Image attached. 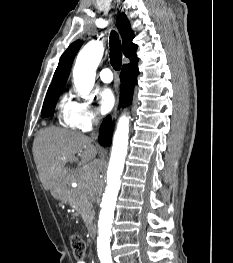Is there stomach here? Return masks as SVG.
Segmentation results:
<instances>
[{"label":"stomach","mask_w":233,"mask_h":263,"mask_svg":"<svg viewBox=\"0 0 233 263\" xmlns=\"http://www.w3.org/2000/svg\"><path fill=\"white\" fill-rule=\"evenodd\" d=\"M67 174L61 176L55 183L54 187L51 189V194L56 199L60 201H67V195H68V186H67Z\"/></svg>","instance_id":"0dacf381"}]
</instances>
